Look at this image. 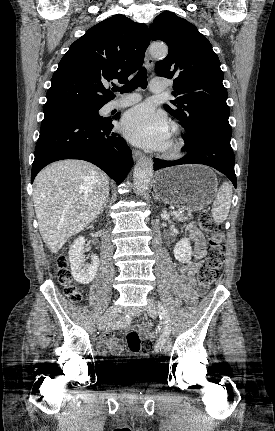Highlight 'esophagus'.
Listing matches in <instances>:
<instances>
[{"label": "esophagus", "instance_id": "esophagus-1", "mask_svg": "<svg viewBox=\"0 0 275 431\" xmlns=\"http://www.w3.org/2000/svg\"><path fill=\"white\" fill-rule=\"evenodd\" d=\"M145 58H146V66L148 70H151L153 68L154 65V60L150 55L149 49H147L146 53H145ZM141 152L138 150H133V159L137 160L139 157H141Z\"/></svg>", "mask_w": 275, "mask_h": 431}]
</instances>
